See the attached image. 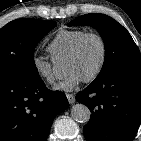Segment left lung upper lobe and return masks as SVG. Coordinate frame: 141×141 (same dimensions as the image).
<instances>
[{"label": "left lung upper lobe", "mask_w": 141, "mask_h": 141, "mask_svg": "<svg viewBox=\"0 0 141 141\" xmlns=\"http://www.w3.org/2000/svg\"><path fill=\"white\" fill-rule=\"evenodd\" d=\"M72 25H90L103 38L105 61L94 81L126 72L141 73V53L128 31L113 18L104 14H86L72 21Z\"/></svg>", "instance_id": "obj_1"}]
</instances>
